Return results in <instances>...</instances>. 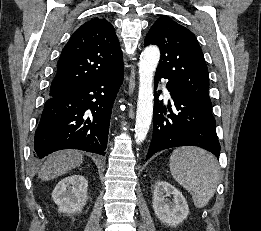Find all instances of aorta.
<instances>
[{
    "label": "aorta",
    "instance_id": "1",
    "mask_svg": "<svg viewBox=\"0 0 261 231\" xmlns=\"http://www.w3.org/2000/svg\"><path fill=\"white\" fill-rule=\"evenodd\" d=\"M160 59L157 46L147 47L140 56L139 92L136 111L135 141L141 144L149 131L153 115V75Z\"/></svg>",
    "mask_w": 261,
    "mask_h": 231
}]
</instances>
